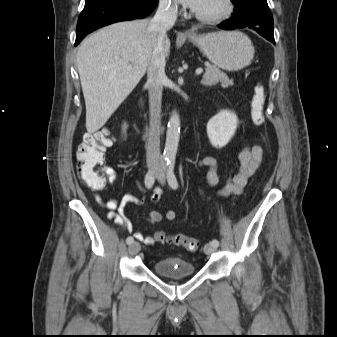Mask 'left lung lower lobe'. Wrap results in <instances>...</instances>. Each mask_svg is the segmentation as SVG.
<instances>
[{
  "label": "left lung lower lobe",
  "instance_id": "left-lung-lower-lobe-1",
  "mask_svg": "<svg viewBox=\"0 0 337 337\" xmlns=\"http://www.w3.org/2000/svg\"><path fill=\"white\" fill-rule=\"evenodd\" d=\"M224 30H233L236 28H251L275 44L273 33V17L264 13L261 9H252L242 12L225 22L218 25Z\"/></svg>",
  "mask_w": 337,
  "mask_h": 337
}]
</instances>
